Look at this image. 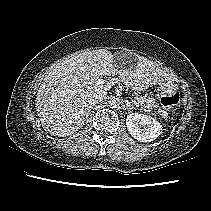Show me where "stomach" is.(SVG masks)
Listing matches in <instances>:
<instances>
[{
  "label": "stomach",
  "mask_w": 211,
  "mask_h": 211,
  "mask_svg": "<svg viewBox=\"0 0 211 211\" xmlns=\"http://www.w3.org/2000/svg\"><path fill=\"white\" fill-rule=\"evenodd\" d=\"M115 58L120 59V57H117V56ZM134 64L136 65V62ZM159 89L162 94L171 93L175 90V85L173 84L172 81H163L159 84ZM135 91H139V90L135 89Z\"/></svg>",
  "instance_id": "1"
}]
</instances>
